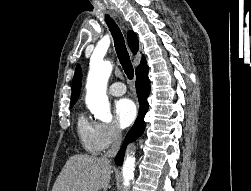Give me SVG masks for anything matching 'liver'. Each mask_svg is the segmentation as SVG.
Masks as SVG:
<instances>
[{
  "mask_svg": "<svg viewBox=\"0 0 251 191\" xmlns=\"http://www.w3.org/2000/svg\"><path fill=\"white\" fill-rule=\"evenodd\" d=\"M112 169L102 157L71 155L59 173L52 191H107Z\"/></svg>",
  "mask_w": 251,
  "mask_h": 191,
  "instance_id": "1",
  "label": "liver"
}]
</instances>
